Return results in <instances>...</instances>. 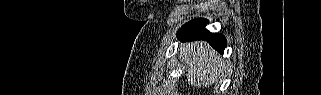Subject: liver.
I'll use <instances>...</instances> for the list:
<instances>
[{"instance_id":"6515ba94","label":"liver","mask_w":321,"mask_h":95,"mask_svg":"<svg viewBox=\"0 0 321 95\" xmlns=\"http://www.w3.org/2000/svg\"><path fill=\"white\" fill-rule=\"evenodd\" d=\"M181 49L179 58L185 62L188 82L194 87H209L225 67L219 55L206 42L187 43Z\"/></svg>"}]
</instances>
